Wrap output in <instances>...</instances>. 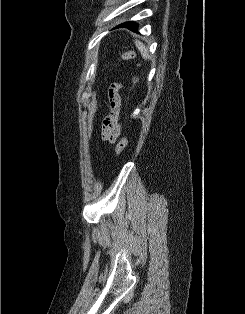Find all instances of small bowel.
Here are the masks:
<instances>
[{
  "mask_svg": "<svg viewBox=\"0 0 245 314\" xmlns=\"http://www.w3.org/2000/svg\"><path fill=\"white\" fill-rule=\"evenodd\" d=\"M119 88L120 84L114 83L109 89L108 98L111 112L104 118L101 130L102 139L105 141L113 142L120 134V123L118 120L120 108Z\"/></svg>",
  "mask_w": 245,
  "mask_h": 314,
  "instance_id": "c3829d8e",
  "label": "small bowel"
}]
</instances>
